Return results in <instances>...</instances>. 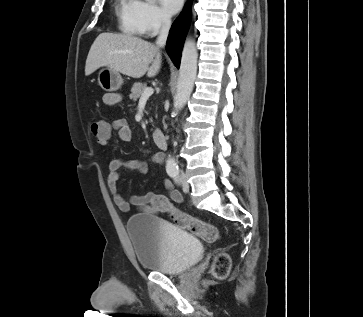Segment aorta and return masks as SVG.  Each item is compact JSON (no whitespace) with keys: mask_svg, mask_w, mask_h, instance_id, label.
<instances>
[{"mask_svg":"<svg viewBox=\"0 0 363 317\" xmlns=\"http://www.w3.org/2000/svg\"><path fill=\"white\" fill-rule=\"evenodd\" d=\"M197 59L198 52L196 44L192 39H187L182 50L179 76L177 81V92L174 97L175 113H178V111L184 107L193 91L197 74ZM166 169L168 171L177 169V163L175 162L174 158L169 156L166 162Z\"/></svg>","mask_w":363,"mask_h":317,"instance_id":"obj_1","label":"aorta"}]
</instances>
